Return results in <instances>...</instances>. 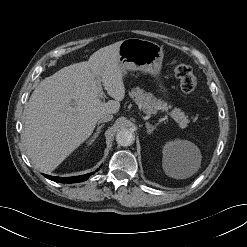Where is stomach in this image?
I'll list each match as a JSON object with an SVG mask.
<instances>
[{
  "instance_id": "stomach-1",
  "label": "stomach",
  "mask_w": 247,
  "mask_h": 247,
  "mask_svg": "<svg viewBox=\"0 0 247 247\" xmlns=\"http://www.w3.org/2000/svg\"><path fill=\"white\" fill-rule=\"evenodd\" d=\"M163 56V48L156 42L128 38L121 41L118 50V63L123 74L127 70H139L158 77Z\"/></svg>"
}]
</instances>
